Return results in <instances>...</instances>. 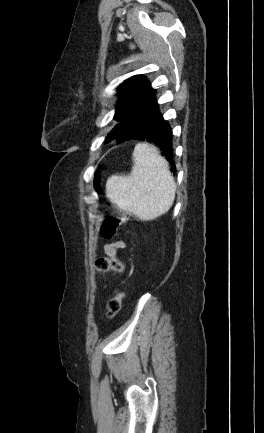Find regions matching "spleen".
<instances>
[{
    "label": "spleen",
    "mask_w": 264,
    "mask_h": 433,
    "mask_svg": "<svg viewBox=\"0 0 264 433\" xmlns=\"http://www.w3.org/2000/svg\"><path fill=\"white\" fill-rule=\"evenodd\" d=\"M132 156L131 172L112 175L106 182V196L119 209L141 220H153L173 205L176 184L168 162L154 146L138 143Z\"/></svg>",
    "instance_id": "3e777b00"
}]
</instances>
